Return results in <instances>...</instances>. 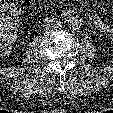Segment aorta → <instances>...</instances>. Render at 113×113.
I'll return each instance as SVG.
<instances>
[{"label":"aorta","instance_id":"aorta-1","mask_svg":"<svg viewBox=\"0 0 113 113\" xmlns=\"http://www.w3.org/2000/svg\"><path fill=\"white\" fill-rule=\"evenodd\" d=\"M68 27L72 30H77L82 26V20L79 16H71L67 21Z\"/></svg>","mask_w":113,"mask_h":113}]
</instances>
